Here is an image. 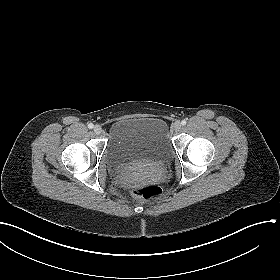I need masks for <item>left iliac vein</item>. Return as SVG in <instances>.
Segmentation results:
<instances>
[{"label": "left iliac vein", "instance_id": "4c4485c4", "mask_svg": "<svg viewBox=\"0 0 280 280\" xmlns=\"http://www.w3.org/2000/svg\"><path fill=\"white\" fill-rule=\"evenodd\" d=\"M172 128L175 132L180 131L181 129V123L179 121H175L172 125Z\"/></svg>", "mask_w": 280, "mask_h": 280}]
</instances>
